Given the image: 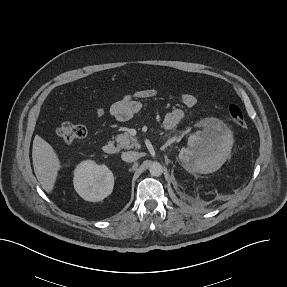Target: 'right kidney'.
<instances>
[{"instance_id": "ca27d5eb", "label": "right kidney", "mask_w": 287, "mask_h": 287, "mask_svg": "<svg viewBox=\"0 0 287 287\" xmlns=\"http://www.w3.org/2000/svg\"><path fill=\"white\" fill-rule=\"evenodd\" d=\"M74 188L86 201L98 202L112 193L114 177L106 165L86 160L74 171Z\"/></svg>"}]
</instances>
